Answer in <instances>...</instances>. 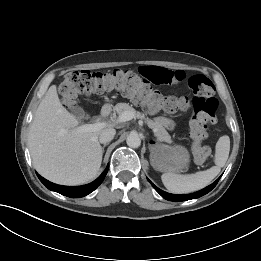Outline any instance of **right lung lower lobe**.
Wrapping results in <instances>:
<instances>
[{"label":"right lung lower lobe","mask_w":261,"mask_h":261,"mask_svg":"<svg viewBox=\"0 0 261 261\" xmlns=\"http://www.w3.org/2000/svg\"><path fill=\"white\" fill-rule=\"evenodd\" d=\"M108 167L104 170V172L92 183L83 185V186H61L54 184L52 182H49L48 180L41 177L39 174H37L40 181L50 190L58 192L62 195L71 197V198H79L88 195L92 191H94L103 181L104 177L106 176L108 172Z\"/></svg>","instance_id":"1"}]
</instances>
